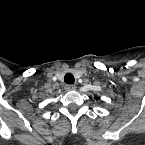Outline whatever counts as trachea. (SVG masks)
<instances>
[{
    "label": "trachea",
    "instance_id": "obj_1",
    "mask_svg": "<svg viewBox=\"0 0 145 145\" xmlns=\"http://www.w3.org/2000/svg\"><path fill=\"white\" fill-rule=\"evenodd\" d=\"M64 81L65 83L67 84H73L75 79H74V76L71 74V73H67L65 76H64Z\"/></svg>",
    "mask_w": 145,
    "mask_h": 145
}]
</instances>
